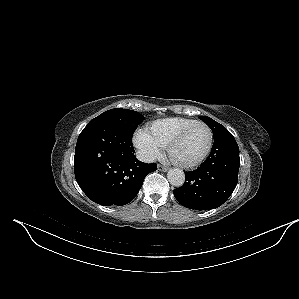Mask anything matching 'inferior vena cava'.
Listing matches in <instances>:
<instances>
[{"label":"inferior vena cava","mask_w":299,"mask_h":299,"mask_svg":"<svg viewBox=\"0 0 299 299\" xmlns=\"http://www.w3.org/2000/svg\"><path fill=\"white\" fill-rule=\"evenodd\" d=\"M136 156L140 161L145 162V163H152L155 160L152 155H150L146 152H143V151H138L136 153Z\"/></svg>","instance_id":"obj_1"}]
</instances>
